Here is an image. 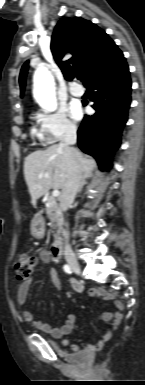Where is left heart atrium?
<instances>
[{
    "mask_svg": "<svg viewBox=\"0 0 145 385\" xmlns=\"http://www.w3.org/2000/svg\"><path fill=\"white\" fill-rule=\"evenodd\" d=\"M71 113L75 119H79L82 116V109L78 104L73 103L71 105Z\"/></svg>",
    "mask_w": 145,
    "mask_h": 385,
    "instance_id": "left-heart-atrium-1",
    "label": "left heart atrium"
}]
</instances>
